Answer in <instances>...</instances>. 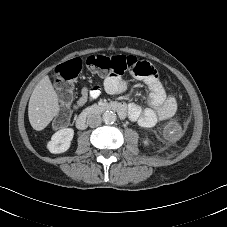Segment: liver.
I'll return each instance as SVG.
<instances>
[{
	"label": "liver",
	"mask_w": 227,
	"mask_h": 227,
	"mask_svg": "<svg viewBox=\"0 0 227 227\" xmlns=\"http://www.w3.org/2000/svg\"><path fill=\"white\" fill-rule=\"evenodd\" d=\"M58 96L48 76L35 86L28 105V117L32 128L43 130L59 113Z\"/></svg>",
	"instance_id": "1"
}]
</instances>
